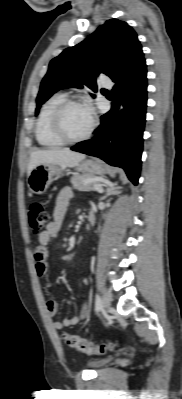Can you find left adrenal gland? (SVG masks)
I'll list each match as a JSON object with an SVG mask.
<instances>
[{
	"label": "left adrenal gland",
	"instance_id": "left-adrenal-gland-1",
	"mask_svg": "<svg viewBox=\"0 0 182 399\" xmlns=\"http://www.w3.org/2000/svg\"><path fill=\"white\" fill-rule=\"evenodd\" d=\"M122 187L117 186V184H110L107 189H106V193L105 195L101 198V200H104L105 198H107L109 195H113V194H117L119 193V189H121Z\"/></svg>",
	"mask_w": 182,
	"mask_h": 399
}]
</instances>
